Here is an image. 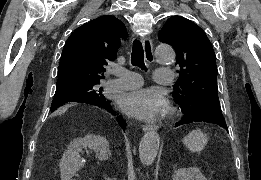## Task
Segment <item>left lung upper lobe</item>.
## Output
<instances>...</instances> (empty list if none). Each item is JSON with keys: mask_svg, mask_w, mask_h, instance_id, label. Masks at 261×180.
I'll return each mask as SVG.
<instances>
[{"mask_svg": "<svg viewBox=\"0 0 261 180\" xmlns=\"http://www.w3.org/2000/svg\"><path fill=\"white\" fill-rule=\"evenodd\" d=\"M158 38L176 51L180 76L172 93L175 102L180 107L195 106V110L201 107L221 110L216 57L205 32L192 21L173 16L166 21Z\"/></svg>", "mask_w": 261, "mask_h": 180, "instance_id": "obj_1", "label": "left lung upper lobe"}]
</instances>
